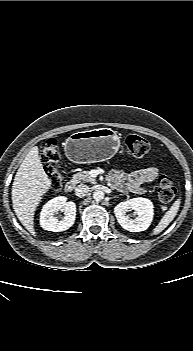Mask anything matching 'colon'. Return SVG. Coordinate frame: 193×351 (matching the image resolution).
<instances>
[{
  "mask_svg": "<svg viewBox=\"0 0 193 351\" xmlns=\"http://www.w3.org/2000/svg\"><path fill=\"white\" fill-rule=\"evenodd\" d=\"M129 151L136 157L146 155L150 150L149 142L139 135H129L125 140ZM41 159L46 164V174L51 190H57L63 181V175L59 164V149L56 139L49 138L41 150ZM158 197L163 202H171L177 194L174 181L170 176L162 175L157 182Z\"/></svg>",
  "mask_w": 193,
  "mask_h": 351,
  "instance_id": "5ec220e1",
  "label": "colon"
}]
</instances>
